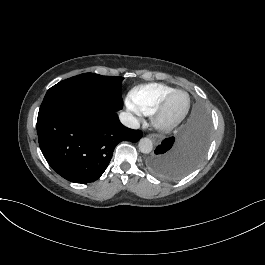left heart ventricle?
<instances>
[{
	"label": "left heart ventricle",
	"mask_w": 265,
	"mask_h": 265,
	"mask_svg": "<svg viewBox=\"0 0 265 265\" xmlns=\"http://www.w3.org/2000/svg\"><path fill=\"white\" fill-rule=\"evenodd\" d=\"M187 99L182 93L176 94L167 108V116L169 118H176L184 111Z\"/></svg>",
	"instance_id": "obj_1"
}]
</instances>
